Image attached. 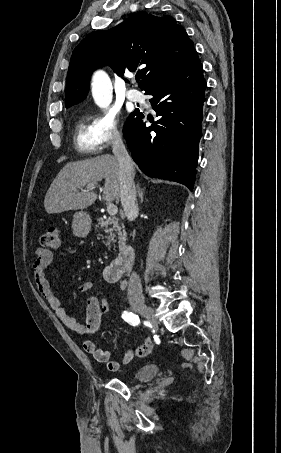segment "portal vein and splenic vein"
<instances>
[{"instance_id":"obj_1","label":"portal vein and splenic vein","mask_w":281,"mask_h":453,"mask_svg":"<svg viewBox=\"0 0 281 453\" xmlns=\"http://www.w3.org/2000/svg\"><path fill=\"white\" fill-rule=\"evenodd\" d=\"M86 188H96V186H94V184H87ZM107 212L108 214H111V216H114V214H117L118 208L113 202H109V204H107Z\"/></svg>"}]
</instances>
